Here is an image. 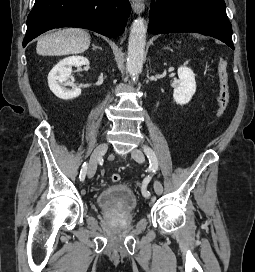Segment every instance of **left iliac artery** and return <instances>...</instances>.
<instances>
[{
  "instance_id": "44dca946",
  "label": "left iliac artery",
  "mask_w": 255,
  "mask_h": 272,
  "mask_svg": "<svg viewBox=\"0 0 255 272\" xmlns=\"http://www.w3.org/2000/svg\"><path fill=\"white\" fill-rule=\"evenodd\" d=\"M143 150L149 159L150 167L152 168L153 172L155 173L158 170V161H157V157H156L154 151L149 146H146V145L143 146ZM149 181H151V175H148V177H145L142 182V191H143V195L145 197L150 196V193L145 190L147 188Z\"/></svg>"
}]
</instances>
